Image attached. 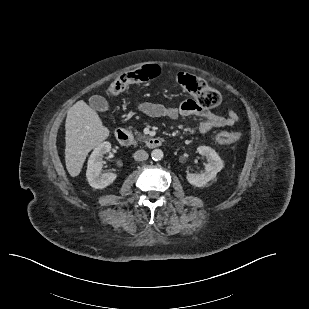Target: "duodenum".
Instances as JSON below:
<instances>
[{
  "label": "duodenum",
  "mask_w": 309,
  "mask_h": 309,
  "mask_svg": "<svg viewBox=\"0 0 309 309\" xmlns=\"http://www.w3.org/2000/svg\"><path fill=\"white\" fill-rule=\"evenodd\" d=\"M117 141L123 146H129L133 142V136L131 132L125 128H118L115 132ZM146 145L149 148H157L162 145V140L157 137H151L146 141Z\"/></svg>",
  "instance_id": "duodenum-1"
}]
</instances>
